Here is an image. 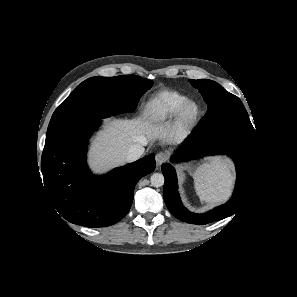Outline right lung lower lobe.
<instances>
[{"label":"right lung lower lobe","mask_w":297,"mask_h":297,"mask_svg":"<svg viewBox=\"0 0 297 297\" xmlns=\"http://www.w3.org/2000/svg\"><path fill=\"white\" fill-rule=\"evenodd\" d=\"M101 121L89 122L60 138L45 143L41 170L46 192L57 211L69 222L86 227H106L130 210L136 183L155 169L150 154L93 176L86 164V145Z\"/></svg>","instance_id":"98d812e1"}]
</instances>
